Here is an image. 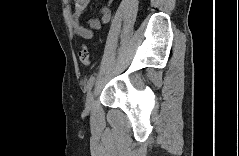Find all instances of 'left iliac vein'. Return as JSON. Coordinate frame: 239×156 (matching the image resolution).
I'll use <instances>...</instances> for the list:
<instances>
[{"instance_id":"1","label":"left iliac vein","mask_w":239,"mask_h":156,"mask_svg":"<svg viewBox=\"0 0 239 156\" xmlns=\"http://www.w3.org/2000/svg\"><path fill=\"white\" fill-rule=\"evenodd\" d=\"M93 96H94L93 91H90V92L87 94V97H86V107H87L88 109H90L91 106H92Z\"/></svg>"}]
</instances>
